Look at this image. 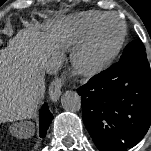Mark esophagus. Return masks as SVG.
<instances>
[{
    "mask_svg": "<svg viewBox=\"0 0 151 151\" xmlns=\"http://www.w3.org/2000/svg\"><path fill=\"white\" fill-rule=\"evenodd\" d=\"M64 84L63 78L55 79L49 86V96L52 101L57 102L61 95V88Z\"/></svg>",
    "mask_w": 151,
    "mask_h": 151,
    "instance_id": "1",
    "label": "esophagus"
}]
</instances>
